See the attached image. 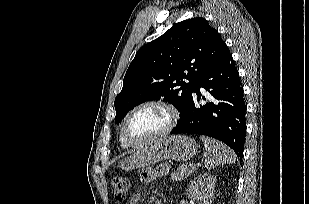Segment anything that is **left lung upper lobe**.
<instances>
[{"label":"left lung upper lobe","mask_w":309,"mask_h":204,"mask_svg":"<svg viewBox=\"0 0 309 204\" xmlns=\"http://www.w3.org/2000/svg\"><path fill=\"white\" fill-rule=\"evenodd\" d=\"M226 48L219 33L203 18L174 24L136 53L122 91L115 98V123L119 124L135 106L150 100H167L182 111L202 74Z\"/></svg>","instance_id":"5c2ea615"}]
</instances>
